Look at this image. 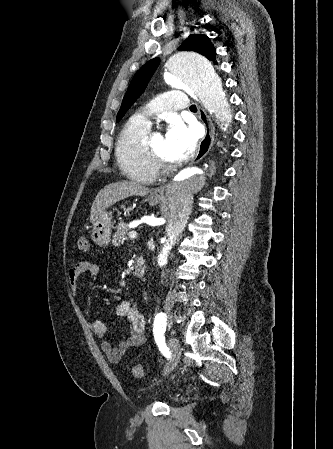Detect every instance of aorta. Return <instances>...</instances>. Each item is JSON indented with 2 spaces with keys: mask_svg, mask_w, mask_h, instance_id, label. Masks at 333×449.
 Returning a JSON list of instances; mask_svg holds the SVG:
<instances>
[{
  "mask_svg": "<svg viewBox=\"0 0 333 449\" xmlns=\"http://www.w3.org/2000/svg\"><path fill=\"white\" fill-rule=\"evenodd\" d=\"M165 81L168 85L193 93L211 111L218 121L227 122L230 110L221 79L210 61L195 52L180 51L172 54L165 63ZM219 160L190 167L179 173L167 186L170 218L162 249L157 261L160 267L167 264L176 238L184 230L192 212L193 197L215 178Z\"/></svg>",
  "mask_w": 333,
  "mask_h": 449,
  "instance_id": "1",
  "label": "aorta"
}]
</instances>
